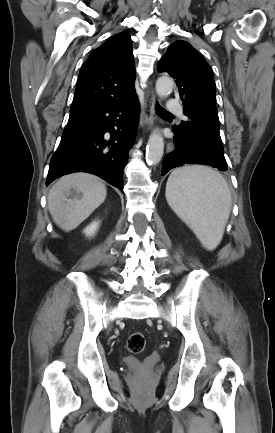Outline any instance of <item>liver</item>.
<instances>
[{"label":"liver","instance_id":"obj_1","mask_svg":"<svg viewBox=\"0 0 275 433\" xmlns=\"http://www.w3.org/2000/svg\"><path fill=\"white\" fill-rule=\"evenodd\" d=\"M107 195L100 178L88 173L61 177L50 189L48 208L55 224L69 232L77 228L98 208Z\"/></svg>","mask_w":275,"mask_h":433}]
</instances>
